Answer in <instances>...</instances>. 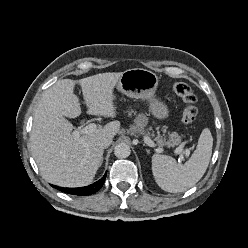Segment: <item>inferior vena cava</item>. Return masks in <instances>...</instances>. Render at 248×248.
<instances>
[{
  "instance_id": "602c4592",
  "label": "inferior vena cava",
  "mask_w": 248,
  "mask_h": 248,
  "mask_svg": "<svg viewBox=\"0 0 248 248\" xmlns=\"http://www.w3.org/2000/svg\"><path fill=\"white\" fill-rule=\"evenodd\" d=\"M111 143H112L111 137H101L96 142L97 146L100 147L101 149H105L109 147Z\"/></svg>"
}]
</instances>
